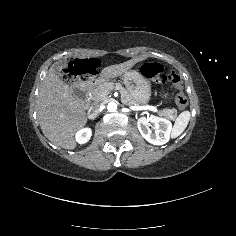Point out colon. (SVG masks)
<instances>
[{"instance_id":"colon-1","label":"colon","mask_w":236,"mask_h":236,"mask_svg":"<svg viewBox=\"0 0 236 236\" xmlns=\"http://www.w3.org/2000/svg\"><path fill=\"white\" fill-rule=\"evenodd\" d=\"M89 69H95L91 63H75L67 66L62 73L63 80L66 84H72L78 76L87 72ZM140 71L144 77L157 83H172L178 90L176 96V105L179 109L186 108L188 101L183 91V83L175 71L165 72L163 67L157 62H146L140 67Z\"/></svg>"}]
</instances>
